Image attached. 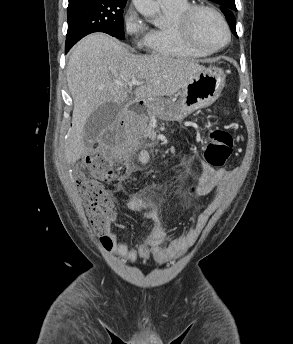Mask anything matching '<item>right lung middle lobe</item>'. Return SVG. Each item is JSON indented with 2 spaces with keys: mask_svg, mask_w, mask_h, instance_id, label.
<instances>
[{
  "mask_svg": "<svg viewBox=\"0 0 293 344\" xmlns=\"http://www.w3.org/2000/svg\"><path fill=\"white\" fill-rule=\"evenodd\" d=\"M122 0H82L69 4L67 9L68 31L65 51L81 38L93 32H104L124 39Z\"/></svg>",
  "mask_w": 293,
  "mask_h": 344,
  "instance_id": "dd1d6c3e",
  "label": "right lung middle lobe"
}]
</instances>
